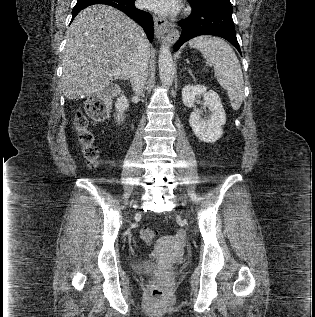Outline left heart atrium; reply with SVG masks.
<instances>
[{
    "instance_id": "39dd6f15",
    "label": "left heart atrium",
    "mask_w": 315,
    "mask_h": 317,
    "mask_svg": "<svg viewBox=\"0 0 315 317\" xmlns=\"http://www.w3.org/2000/svg\"><path fill=\"white\" fill-rule=\"evenodd\" d=\"M140 5L159 14H169L177 8L175 0H140Z\"/></svg>"
}]
</instances>
